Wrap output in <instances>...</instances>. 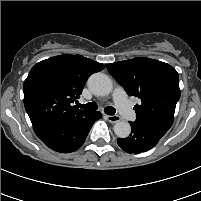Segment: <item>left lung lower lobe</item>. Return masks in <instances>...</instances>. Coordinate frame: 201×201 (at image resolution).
Listing matches in <instances>:
<instances>
[{
	"label": "left lung lower lobe",
	"instance_id": "left-lung-lower-lobe-1",
	"mask_svg": "<svg viewBox=\"0 0 201 201\" xmlns=\"http://www.w3.org/2000/svg\"><path fill=\"white\" fill-rule=\"evenodd\" d=\"M132 132L125 139H118V145L128 153L139 154L153 148L161 137L168 131V127L159 124L130 122Z\"/></svg>",
	"mask_w": 201,
	"mask_h": 201
}]
</instances>
